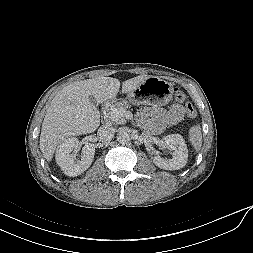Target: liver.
<instances>
[{
  "mask_svg": "<svg viewBox=\"0 0 253 253\" xmlns=\"http://www.w3.org/2000/svg\"><path fill=\"white\" fill-rule=\"evenodd\" d=\"M148 77L140 75L124 81L122 93L134 90ZM120 85L116 78L96 77L74 82L58 91L47 109L40 135V150L48 162L66 138L92 133L98 128L99 112L89 96H94L98 103L111 101Z\"/></svg>",
  "mask_w": 253,
  "mask_h": 253,
  "instance_id": "1",
  "label": "liver"
}]
</instances>
